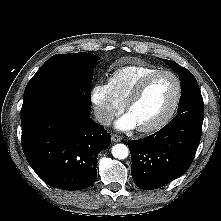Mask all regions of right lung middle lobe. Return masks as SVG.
Returning <instances> with one entry per match:
<instances>
[{
    "label": "right lung middle lobe",
    "mask_w": 221,
    "mask_h": 221,
    "mask_svg": "<svg viewBox=\"0 0 221 221\" xmlns=\"http://www.w3.org/2000/svg\"><path fill=\"white\" fill-rule=\"evenodd\" d=\"M98 57L89 53L57 54L50 57L28 82L21 120L53 102H67L91 109V82Z\"/></svg>",
    "instance_id": "dd1d6c3e"
}]
</instances>
